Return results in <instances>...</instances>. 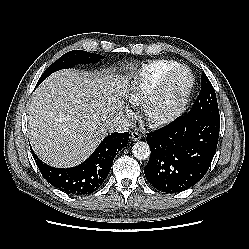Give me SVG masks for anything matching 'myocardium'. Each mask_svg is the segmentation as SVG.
<instances>
[{
    "label": "myocardium",
    "mask_w": 249,
    "mask_h": 249,
    "mask_svg": "<svg viewBox=\"0 0 249 249\" xmlns=\"http://www.w3.org/2000/svg\"><path fill=\"white\" fill-rule=\"evenodd\" d=\"M185 70L189 75V81L178 98L170 105H166V99L173 77L180 71ZM195 84V77L192 70L186 65H177L170 69L161 79L159 85L154 92L149 96L144 104V118L154 127L166 126L185 111L190 100Z\"/></svg>",
    "instance_id": "1"
}]
</instances>
